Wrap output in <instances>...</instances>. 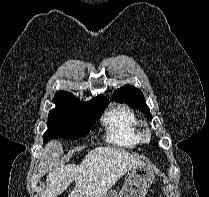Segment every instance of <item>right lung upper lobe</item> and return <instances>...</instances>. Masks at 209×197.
I'll use <instances>...</instances> for the list:
<instances>
[{"label": "right lung upper lobe", "instance_id": "right-lung-upper-lobe-1", "mask_svg": "<svg viewBox=\"0 0 209 197\" xmlns=\"http://www.w3.org/2000/svg\"><path fill=\"white\" fill-rule=\"evenodd\" d=\"M107 98H105L103 95H99L97 98H95L94 100H106Z\"/></svg>", "mask_w": 209, "mask_h": 197}]
</instances>
